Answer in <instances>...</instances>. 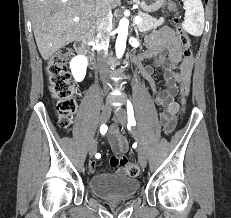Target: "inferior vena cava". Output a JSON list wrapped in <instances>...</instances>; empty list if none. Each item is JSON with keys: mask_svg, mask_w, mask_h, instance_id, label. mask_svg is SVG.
<instances>
[{"mask_svg": "<svg viewBox=\"0 0 231 218\" xmlns=\"http://www.w3.org/2000/svg\"><path fill=\"white\" fill-rule=\"evenodd\" d=\"M112 11L109 0H96V42L99 44L98 66L106 88V73L109 69L108 47L112 30Z\"/></svg>", "mask_w": 231, "mask_h": 218, "instance_id": "inferior-vena-cava-1", "label": "inferior vena cava"}]
</instances>
